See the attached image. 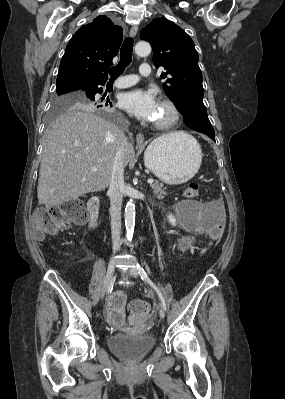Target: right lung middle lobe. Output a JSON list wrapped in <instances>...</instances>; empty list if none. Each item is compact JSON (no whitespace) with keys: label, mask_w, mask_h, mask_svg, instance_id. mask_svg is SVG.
<instances>
[{"label":"right lung middle lobe","mask_w":285,"mask_h":399,"mask_svg":"<svg viewBox=\"0 0 285 399\" xmlns=\"http://www.w3.org/2000/svg\"><path fill=\"white\" fill-rule=\"evenodd\" d=\"M56 96L53 102L52 114L50 121L54 119L58 114L74 109H101L104 108L96 94L86 93L80 89H56Z\"/></svg>","instance_id":"right-lung-middle-lobe-1"}]
</instances>
